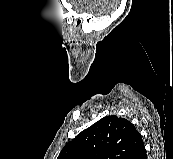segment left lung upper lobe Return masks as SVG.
Listing matches in <instances>:
<instances>
[{
  "instance_id": "1",
  "label": "left lung upper lobe",
  "mask_w": 173,
  "mask_h": 159,
  "mask_svg": "<svg viewBox=\"0 0 173 159\" xmlns=\"http://www.w3.org/2000/svg\"><path fill=\"white\" fill-rule=\"evenodd\" d=\"M142 145L133 124L111 115L79 133L57 159H131Z\"/></svg>"
}]
</instances>
